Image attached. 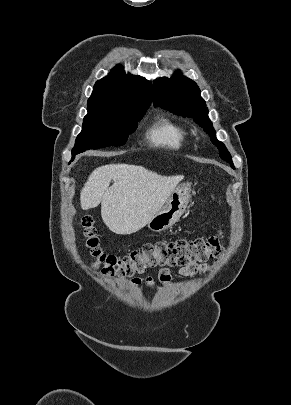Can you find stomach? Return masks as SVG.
Segmentation results:
<instances>
[{"instance_id":"obj_1","label":"stomach","mask_w":291,"mask_h":405,"mask_svg":"<svg viewBox=\"0 0 291 405\" xmlns=\"http://www.w3.org/2000/svg\"><path fill=\"white\" fill-rule=\"evenodd\" d=\"M190 198L191 188L188 183L177 186L165 205L147 223L148 228L160 232L173 226L185 212Z\"/></svg>"}]
</instances>
